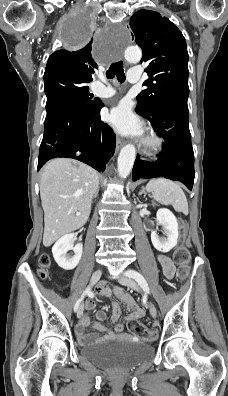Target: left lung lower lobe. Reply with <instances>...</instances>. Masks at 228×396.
<instances>
[{"instance_id":"0a47b994","label":"left lung lower lobe","mask_w":228,"mask_h":396,"mask_svg":"<svg viewBox=\"0 0 228 396\" xmlns=\"http://www.w3.org/2000/svg\"><path fill=\"white\" fill-rule=\"evenodd\" d=\"M188 97H177L160 103L154 113L145 115L136 108V112L147 118L156 133L163 137V158L156 162H147L136 158L132 179L165 177L182 182L189 190L194 182V153L188 125Z\"/></svg>"}]
</instances>
